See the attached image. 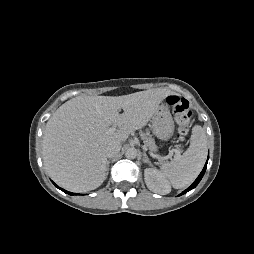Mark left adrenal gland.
Returning <instances> with one entry per match:
<instances>
[{
	"instance_id": "1",
	"label": "left adrenal gland",
	"mask_w": 254,
	"mask_h": 254,
	"mask_svg": "<svg viewBox=\"0 0 254 254\" xmlns=\"http://www.w3.org/2000/svg\"><path fill=\"white\" fill-rule=\"evenodd\" d=\"M143 157H144V159H143V162H144V163H149V164H151V162H150V160H149V158H148V156H147V154H146L145 152H143Z\"/></svg>"
}]
</instances>
